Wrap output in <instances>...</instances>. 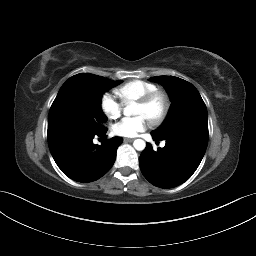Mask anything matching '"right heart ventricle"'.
I'll return each instance as SVG.
<instances>
[{"label": "right heart ventricle", "mask_w": 256, "mask_h": 256, "mask_svg": "<svg viewBox=\"0 0 256 256\" xmlns=\"http://www.w3.org/2000/svg\"><path fill=\"white\" fill-rule=\"evenodd\" d=\"M155 90H158V87L151 82L132 80L116 88L114 93L121 99L124 105H127Z\"/></svg>", "instance_id": "1"}]
</instances>
